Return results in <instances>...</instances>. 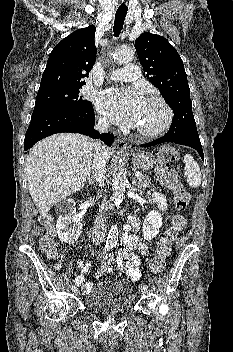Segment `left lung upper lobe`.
<instances>
[{
  "label": "left lung upper lobe",
  "instance_id": "left-lung-upper-lobe-1",
  "mask_svg": "<svg viewBox=\"0 0 233 352\" xmlns=\"http://www.w3.org/2000/svg\"><path fill=\"white\" fill-rule=\"evenodd\" d=\"M135 48L147 79L173 109L174 121L169 132L197 131L187 75L176 49L164 37L149 32L135 40Z\"/></svg>",
  "mask_w": 233,
  "mask_h": 352
}]
</instances>
